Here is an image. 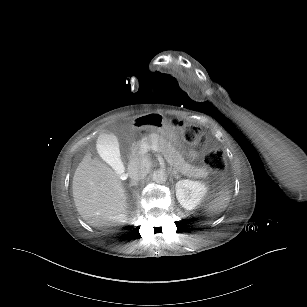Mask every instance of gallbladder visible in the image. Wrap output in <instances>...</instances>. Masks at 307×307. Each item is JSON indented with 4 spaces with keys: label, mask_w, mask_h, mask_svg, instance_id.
I'll return each instance as SVG.
<instances>
[{
    "label": "gallbladder",
    "mask_w": 307,
    "mask_h": 307,
    "mask_svg": "<svg viewBox=\"0 0 307 307\" xmlns=\"http://www.w3.org/2000/svg\"><path fill=\"white\" fill-rule=\"evenodd\" d=\"M95 147L100 150V154L106 159V161L113 166L115 173L119 174L120 179H127L128 174L123 171L119 159L117 138L114 135L102 133L95 140Z\"/></svg>",
    "instance_id": "gallbladder-1"
}]
</instances>
